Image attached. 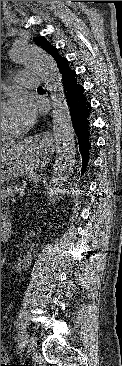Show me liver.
<instances>
[{"mask_svg":"<svg viewBox=\"0 0 122 366\" xmlns=\"http://www.w3.org/2000/svg\"><path fill=\"white\" fill-rule=\"evenodd\" d=\"M6 156V153L5 152H1V158H4Z\"/></svg>","mask_w":122,"mask_h":366,"instance_id":"6515ba94","label":"liver"}]
</instances>
